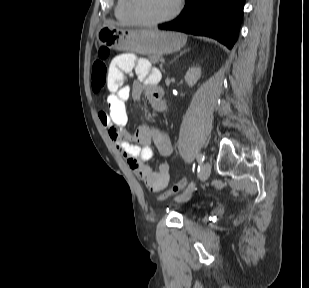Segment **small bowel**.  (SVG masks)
<instances>
[{
	"label": "small bowel",
	"instance_id": "obj_1",
	"mask_svg": "<svg viewBox=\"0 0 309 288\" xmlns=\"http://www.w3.org/2000/svg\"><path fill=\"white\" fill-rule=\"evenodd\" d=\"M135 73L138 81L130 87L126 84L127 75ZM158 73L147 59L135 54L124 53L116 56L110 63L106 112L99 118L117 150L126 159L129 167L136 173L146 188L152 192L164 189L170 176V164L162 161L153 169L149 164L153 157L152 145L161 157H169L173 145L168 134L152 125H140L130 134L126 131L128 116L126 102L133 98L140 100L144 95L151 108L159 113L166 111L163 90L157 83Z\"/></svg>",
	"mask_w": 309,
	"mask_h": 288
}]
</instances>
